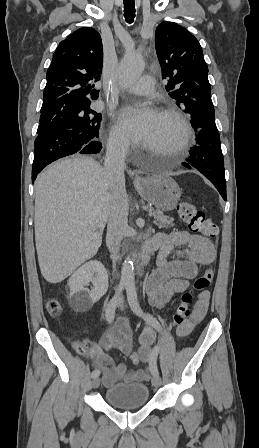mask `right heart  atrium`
I'll return each instance as SVG.
<instances>
[{"label": "right heart atrium", "mask_w": 259, "mask_h": 448, "mask_svg": "<svg viewBox=\"0 0 259 448\" xmlns=\"http://www.w3.org/2000/svg\"><path fill=\"white\" fill-rule=\"evenodd\" d=\"M132 146V140L118 126H112L108 137V147L125 155Z\"/></svg>", "instance_id": "obj_1"}]
</instances>
